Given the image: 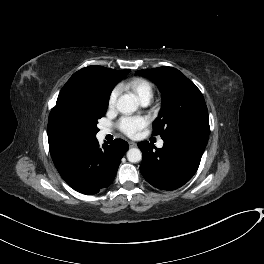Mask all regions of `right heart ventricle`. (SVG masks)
Returning <instances> with one entry per match:
<instances>
[{"instance_id":"e07e8e85","label":"right heart ventricle","mask_w":264,"mask_h":264,"mask_svg":"<svg viewBox=\"0 0 264 264\" xmlns=\"http://www.w3.org/2000/svg\"><path fill=\"white\" fill-rule=\"evenodd\" d=\"M125 88L131 90L139 100L144 98H152L153 86L152 84L143 78H134L124 85Z\"/></svg>"}]
</instances>
